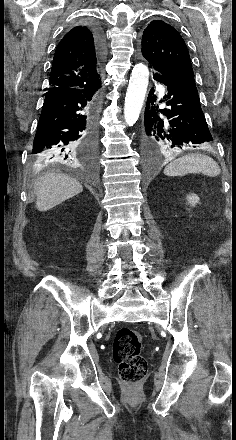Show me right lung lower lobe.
<instances>
[{
	"instance_id": "obj_1",
	"label": "right lung lower lobe",
	"mask_w": 236,
	"mask_h": 440,
	"mask_svg": "<svg viewBox=\"0 0 236 440\" xmlns=\"http://www.w3.org/2000/svg\"><path fill=\"white\" fill-rule=\"evenodd\" d=\"M98 56L106 54L102 30L89 24ZM102 96L101 80L84 88L48 91L39 118L32 154L45 161H62L93 170L97 160L98 108ZM78 146L76 154L73 147Z\"/></svg>"
}]
</instances>
